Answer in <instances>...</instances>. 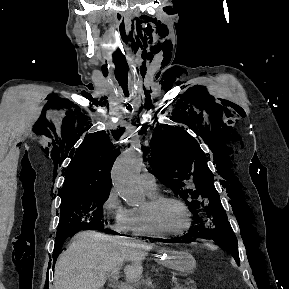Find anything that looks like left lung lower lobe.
Here are the masks:
<instances>
[{
  "label": "left lung lower lobe",
  "mask_w": 289,
  "mask_h": 289,
  "mask_svg": "<svg viewBox=\"0 0 289 289\" xmlns=\"http://www.w3.org/2000/svg\"><path fill=\"white\" fill-rule=\"evenodd\" d=\"M195 237H205V238H212L213 239V236L211 233H206V232H199V231H191L190 233H187L185 236L183 237H180V238H175V239H171L169 240L168 242H172V243H181V242H184V243H188V242H191L192 241V238H195Z\"/></svg>",
  "instance_id": "0a47b994"
}]
</instances>
